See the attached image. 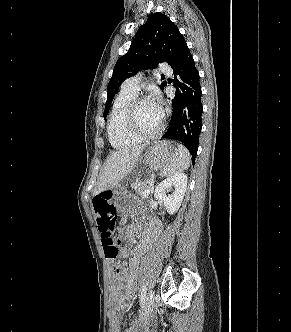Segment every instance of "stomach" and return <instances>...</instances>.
I'll use <instances>...</instances> for the list:
<instances>
[{
    "label": "stomach",
    "mask_w": 291,
    "mask_h": 332,
    "mask_svg": "<svg viewBox=\"0 0 291 332\" xmlns=\"http://www.w3.org/2000/svg\"><path fill=\"white\" fill-rule=\"evenodd\" d=\"M176 153L177 149L174 148L171 143L167 141L154 142L141 153L139 165L150 168L151 170H159L164 168L170 160L175 158ZM114 194V205L116 209L119 212L125 210L131 201V196H129L124 189L115 190Z\"/></svg>",
    "instance_id": "1"
}]
</instances>
